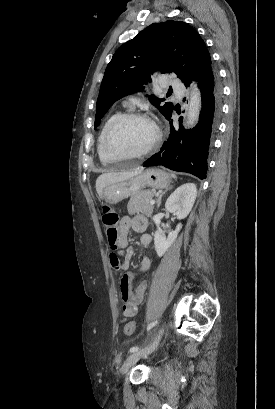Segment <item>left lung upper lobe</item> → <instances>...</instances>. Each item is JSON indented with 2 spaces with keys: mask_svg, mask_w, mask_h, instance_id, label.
I'll list each match as a JSON object with an SVG mask.
<instances>
[{
  "mask_svg": "<svg viewBox=\"0 0 275 409\" xmlns=\"http://www.w3.org/2000/svg\"><path fill=\"white\" fill-rule=\"evenodd\" d=\"M211 64L204 41L190 25L181 21L153 23L134 39L124 43L107 65L96 105L95 127L112 104L137 91H143L150 73H175L186 85ZM151 103L167 117L171 102L147 95Z\"/></svg>",
  "mask_w": 275,
  "mask_h": 409,
  "instance_id": "5c2ea615",
  "label": "left lung upper lobe"
}]
</instances>
